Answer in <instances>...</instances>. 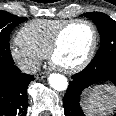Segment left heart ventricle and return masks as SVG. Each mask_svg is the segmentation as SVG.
Returning <instances> with one entry per match:
<instances>
[{"label":"left heart ventricle","instance_id":"left-heart-ventricle-1","mask_svg":"<svg viewBox=\"0 0 116 116\" xmlns=\"http://www.w3.org/2000/svg\"><path fill=\"white\" fill-rule=\"evenodd\" d=\"M92 43V31L83 23L71 25L64 32L54 62L61 67H72L80 63Z\"/></svg>","mask_w":116,"mask_h":116}]
</instances>
